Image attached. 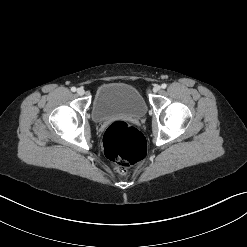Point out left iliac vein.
I'll return each instance as SVG.
<instances>
[{
	"mask_svg": "<svg viewBox=\"0 0 247 247\" xmlns=\"http://www.w3.org/2000/svg\"><path fill=\"white\" fill-rule=\"evenodd\" d=\"M160 89H161V87H160L159 85H155V86L153 87V91H154L155 93H156V92H159Z\"/></svg>",
	"mask_w": 247,
	"mask_h": 247,
	"instance_id": "4c4485c4",
	"label": "left iliac vein"
}]
</instances>
